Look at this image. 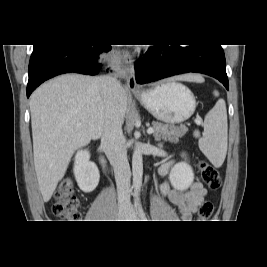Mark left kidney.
Listing matches in <instances>:
<instances>
[{"mask_svg": "<svg viewBox=\"0 0 267 267\" xmlns=\"http://www.w3.org/2000/svg\"><path fill=\"white\" fill-rule=\"evenodd\" d=\"M169 179L173 188L184 191L193 183L194 173L188 163L179 162L171 169Z\"/></svg>", "mask_w": 267, "mask_h": 267, "instance_id": "5707ae66", "label": "left kidney"}]
</instances>
